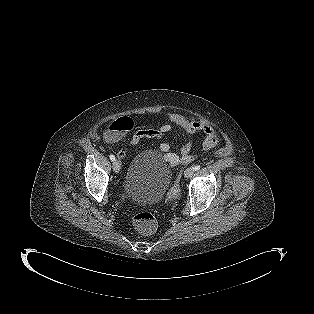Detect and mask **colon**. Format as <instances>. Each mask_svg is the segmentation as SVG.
<instances>
[{"instance_id": "colon-1", "label": "colon", "mask_w": 314, "mask_h": 314, "mask_svg": "<svg viewBox=\"0 0 314 314\" xmlns=\"http://www.w3.org/2000/svg\"><path fill=\"white\" fill-rule=\"evenodd\" d=\"M132 120L122 117L111 123L106 131L108 140H117L132 128ZM133 225L135 229L144 236L152 235L156 230V219L154 215L147 211H142L134 215Z\"/></svg>"}]
</instances>
